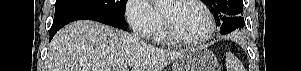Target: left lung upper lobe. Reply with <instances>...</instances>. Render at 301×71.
Listing matches in <instances>:
<instances>
[{"mask_svg":"<svg viewBox=\"0 0 301 71\" xmlns=\"http://www.w3.org/2000/svg\"><path fill=\"white\" fill-rule=\"evenodd\" d=\"M214 13L217 24L228 17L240 16L243 12L242 0H205Z\"/></svg>","mask_w":301,"mask_h":71,"instance_id":"1","label":"left lung upper lobe"}]
</instances>
